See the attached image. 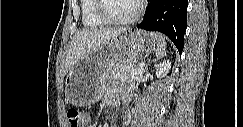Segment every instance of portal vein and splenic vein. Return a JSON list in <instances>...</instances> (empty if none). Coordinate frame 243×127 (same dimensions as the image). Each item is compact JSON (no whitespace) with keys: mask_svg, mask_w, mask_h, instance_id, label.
Wrapping results in <instances>:
<instances>
[{"mask_svg":"<svg viewBox=\"0 0 243 127\" xmlns=\"http://www.w3.org/2000/svg\"><path fill=\"white\" fill-rule=\"evenodd\" d=\"M143 71H144L143 67L140 66L137 70H134L133 72H134L135 74H142Z\"/></svg>","mask_w":243,"mask_h":127,"instance_id":"portal-vein-and-splenic-vein-1","label":"portal vein and splenic vein"}]
</instances>
